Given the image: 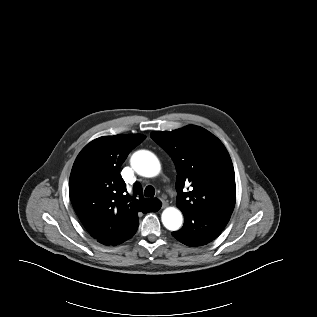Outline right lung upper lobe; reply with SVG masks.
<instances>
[{
  "label": "right lung upper lobe",
  "instance_id": "1",
  "mask_svg": "<svg viewBox=\"0 0 317 317\" xmlns=\"http://www.w3.org/2000/svg\"><path fill=\"white\" fill-rule=\"evenodd\" d=\"M144 135H115L97 138L77 156L69 180L73 208L91 236L104 245L130 239L138 228V213L150 212L157 198L145 199L136 183L133 194L119 174L120 166Z\"/></svg>",
  "mask_w": 317,
  "mask_h": 317
}]
</instances>
